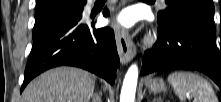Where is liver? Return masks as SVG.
<instances>
[{
    "label": "liver",
    "mask_w": 221,
    "mask_h": 102,
    "mask_svg": "<svg viewBox=\"0 0 221 102\" xmlns=\"http://www.w3.org/2000/svg\"><path fill=\"white\" fill-rule=\"evenodd\" d=\"M95 79L89 72L73 67L48 70L32 80L22 102H90Z\"/></svg>",
    "instance_id": "obj_1"
}]
</instances>
